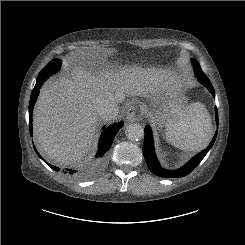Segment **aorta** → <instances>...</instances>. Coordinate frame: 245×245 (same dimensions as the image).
I'll list each match as a JSON object with an SVG mask.
<instances>
[{
    "label": "aorta",
    "instance_id": "1",
    "mask_svg": "<svg viewBox=\"0 0 245 245\" xmlns=\"http://www.w3.org/2000/svg\"><path fill=\"white\" fill-rule=\"evenodd\" d=\"M125 134L130 141H140L144 136V129L137 123L130 124L126 127Z\"/></svg>",
    "mask_w": 245,
    "mask_h": 245
}]
</instances>
